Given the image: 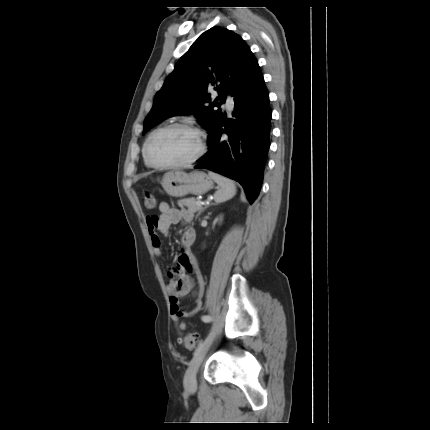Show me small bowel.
I'll list each match as a JSON object with an SVG mask.
<instances>
[{
    "label": "small bowel",
    "instance_id": "1",
    "mask_svg": "<svg viewBox=\"0 0 430 430\" xmlns=\"http://www.w3.org/2000/svg\"><path fill=\"white\" fill-rule=\"evenodd\" d=\"M159 210V216L148 217L146 221L152 248L156 256L162 254L161 242L157 232L159 231L166 235L172 224H177L181 221L190 222L193 218L192 213L188 210L171 207L166 202L160 203ZM194 240L195 231L192 228H186L181 236L180 254L177 260L171 264L168 271L171 277L168 284L171 319L180 336L187 329L183 318L193 317L198 313L204 294V279L199 269L198 260L191 250ZM190 294L193 296L196 307L190 312H185L180 305V301Z\"/></svg>",
    "mask_w": 430,
    "mask_h": 430
}]
</instances>
